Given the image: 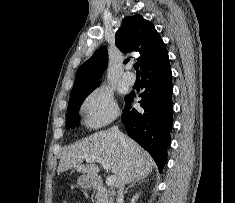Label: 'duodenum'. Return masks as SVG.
<instances>
[{
	"label": "duodenum",
	"instance_id": "410a0bca",
	"mask_svg": "<svg viewBox=\"0 0 235 203\" xmlns=\"http://www.w3.org/2000/svg\"><path fill=\"white\" fill-rule=\"evenodd\" d=\"M92 181L94 185H97V186L101 185V180L99 178H94Z\"/></svg>",
	"mask_w": 235,
	"mask_h": 203
}]
</instances>
